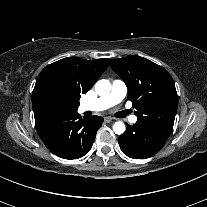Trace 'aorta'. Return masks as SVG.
<instances>
[{
	"mask_svg": "<svg viewBox=\"0 0 207 207\" xmlns=\"http://www.w3.org/2000/svg\"><path fill=\"white\" fill-rule=\"evenodd\" d=\"M95 91L99 96H106L111 91V83L108 80L102 79L95 84ZM115 134L121 135L125 131V124L121 121L115 122L113 125Z\"/></svg>",
	"mask_w": 207,
	"mask_h": 207,
	"instance_id": "762f6f07",
	"label": "aorta"
}]
</instances>
